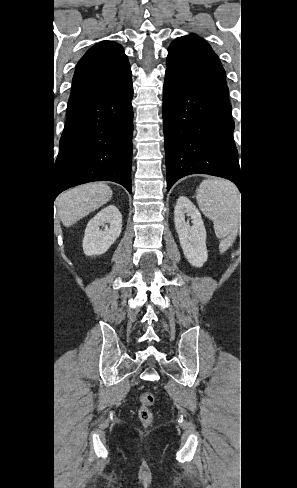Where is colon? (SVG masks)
I'll return each mask as SVG.
<instances>
[{"mask_svg":"<svg viewBox=\"0 0 297 488\" xmlns=\"http://www.w3.org/2000/svg\"><path fill=\"white\" fill-rule=\"evenodd\" d=\"M140 407L138 417L142 425L147 426L153 421V412L151 407L154 404V396L150 392H143L139 397Z\"/></svg>","mask_w":297,"mask_h":488,"instance_id":"1","label":"colon"}]
</instances>
